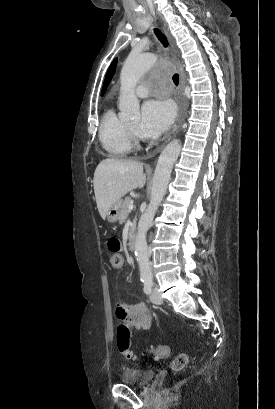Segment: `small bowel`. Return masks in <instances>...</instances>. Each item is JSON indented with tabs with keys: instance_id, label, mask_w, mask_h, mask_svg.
I'll return each instance as SVG.
<instances>
[{
	"instance_id": "c3829d8e",
	"label": "small bowel",
	"mask_w": 275,
	"mask_h": 409,
	"mask_svg": "<svg viewBox=\"0 0 275 409\" xmlns=\"http://www.w3.org/2000/svg\"><path fill=\"white\" fill-rule=\"evenodd\" d=\"M116 317L123 321L127 325L117 326V344L118 352L120 355H124L126 360H131L136 355L131 352V340L130 334H134L136 330L140 329H150L153 324V317L150 312L149 307L144 302H139L136 304H128L123 306L119 304L116 309ZM134 365L140 364L139 358L133 359Z\"/></svg>"
}]
</instances>
